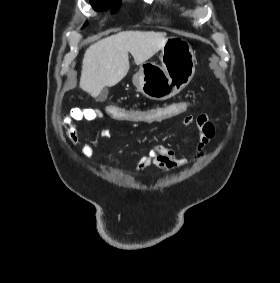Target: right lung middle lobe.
Returning <instances> with one entry per match:
<instances>
[{
  "instance_id": "right-lung-middle-lobe-1",
  "label": "right lung middle lobe",
  "mask_w": 280,
  "mask_h": 283,
  "mask_svg": "<svg viewBox=\"0 0 280 283\" xmlns=\"http://www.w3.org/2000/svg\"><path fill=\"white\" fill-rule=\"evenodd\" d=\"M91 5L93 6L94 10L96 11H103L109 8L112 9V14L116 12V10L120 6L119 0H91ZM87 23L85 24V26Z\"/></svg>"
}]
</instances>
